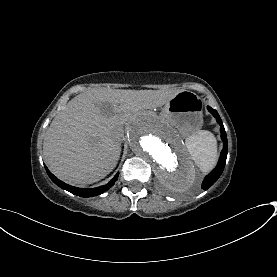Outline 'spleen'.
I'll return each instance as SVG.
<instances>
[{"label":"spleen","instance_id":"spleen-1","mask_svg":"<svg viewBox=\"0 0 277 277\" xmlns=\"http://www.w3.org/2000/svg\"><path fill=\"white\" fill-rule=\"evenodd\" d=\"M186 147L192 160L204 173L214 168L217 162V141L209 131H198L186 139Z\"/></svg>","mask_w":277,"mask_h":277}]
</instances>
